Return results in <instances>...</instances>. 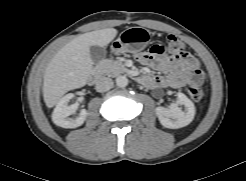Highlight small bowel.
Segmentation results:
<instances>
[{
  "label": "small bowel",
  "instance_id": "small-bowel-1",
  "mask_svg": "<svg viewBox=\"0 0 246 181\" xmlns=\"http://www.w3.org/2000/svg\"><path fill=\"white\" fill-rule=\"evenodd\" d=\"M162 47L163 45H157ZM166 53L156 54L152 50L135 55L142 65L152 67L164 75H144L143 84L149 88H181L193 83L192 70L198 66L197 60L189 53L182 51L169 56Z\"/></svg>",
  "mask_w": 246,
  "mask_h": 181
}]
</instances>
